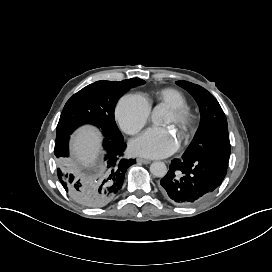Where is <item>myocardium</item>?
Segmentation results:
<instances>
[{"label":"myocardium","mask_w":272,"mask_h":272,"mask_svg":"<svg viewBox=\"0 0 272 272\" xmlns=\"http://www.w3.org/2000/svg\"><path fill=\"white\" fill-rule=\"evenodd\" d=\"M170 111L175 116V124L181 128L185 133L191 127L192 115L186 107L172 106Z\"/></svg>","instance_id":"obj_1"}]
</instances>
